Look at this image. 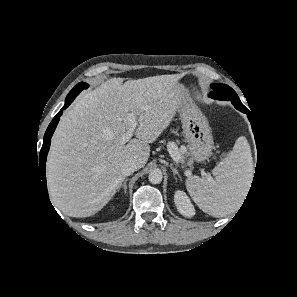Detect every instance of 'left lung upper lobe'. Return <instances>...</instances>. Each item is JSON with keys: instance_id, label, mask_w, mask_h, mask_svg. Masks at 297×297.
<instances>
[{"instance_id": "1", "label": "left lung upper lobe", "mask_w": 297, "mask_h": 297, "mask_svg": "<svg viewBox=\"0 0 297 297\" xmlns=\"http://www.w3.org/2000/svg\"><path fill=\"white\" fill-rule=\"evenodd\" d=\"M211 88L213 89V91L209 94L211 98L231 101L235 107H245L241 103L236 92L230 86L226 84H212Z\"/></svg>"}]
</instances>
